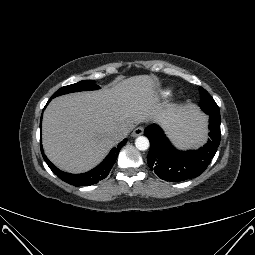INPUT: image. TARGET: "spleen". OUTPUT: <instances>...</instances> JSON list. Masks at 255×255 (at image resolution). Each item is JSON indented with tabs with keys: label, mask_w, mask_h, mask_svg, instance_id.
<instances>
[{
	"label": "spleen",
	"mask_w": 255,
	"mask_h": 255,
	"mask_svg": "<svg viewBox=\"0 0 255 255\" xmlns=\"http://www.w3.org/2000/svg\"><path fill=\"white\" fill-rule=\"evenodd\" d=\"M206 136V120L202 117L185 136L176 139V144L180 147H195L204 142Z\"/></svg>",
	"instance_id": "obj_1"
}]
</instances>
